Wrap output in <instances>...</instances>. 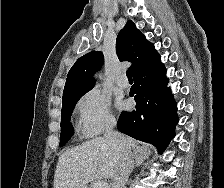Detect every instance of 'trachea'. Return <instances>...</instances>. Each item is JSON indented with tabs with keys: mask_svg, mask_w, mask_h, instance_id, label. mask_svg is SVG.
Listing matches in <instances>:
<instances>
[{
	"mask_svg": "<svg viewBox=\"0 0 224 188\" xmlns=\"http://www.w3.org/2000/svg\"><path fill=\"white\" fill-rule=\"evenodd\" d=\"M126 75H127L128 79H132V71H131V69H128L126 71Z\"/></svg>",
	"mask_w": 224,
	"mask_h": 188,
	"instance_id": "obj_1",
	"label": "trachea"
}]
</instances>
